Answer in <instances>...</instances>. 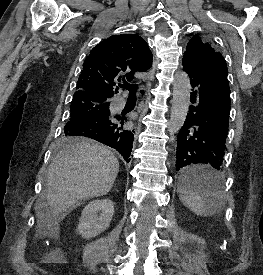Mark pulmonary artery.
Wrapping results in <instances>:
<instances>
[{
    "mask_svg": "<svg viewBox=\"0 0 263 275\" xmlns=\"http://www.w3.org/2000/svg\"><path fill=\"white\" fill-rule=\"evenodd\" d=\"M113 105H114V107H115L116 109L121 108V107L124 105V99L121 98V97H117V98L114 100Z\"/></svg>",
    "mask_w": 263,
    "mask_h": 275,
    "instance_id": "pulmonary-artery-1",
    "label": "pulmonary artery"
}]
</instances>
